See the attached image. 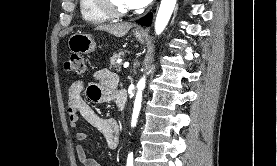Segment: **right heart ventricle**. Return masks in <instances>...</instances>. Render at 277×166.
I'll use <instances>...</instances> for the list:
<instances>
[{
    "mask_svg": "<svg viewBox=\"0 0 277 166\" xmlns=\"http://www.w3.org/2000/svg\"><path fill=\"white\" fill-rule=\"evenodd\" d=\"M80 13L82 18L90 23L102 24L109 20V17L98 10L92 0H79Z\"/></svg>",
    "mask_w": 277,
    "mask_h": 166,
    "instance_id": "right-heart-ventricle-1",
    "label": "right heart ventricle"
}]
</instances>
